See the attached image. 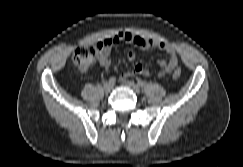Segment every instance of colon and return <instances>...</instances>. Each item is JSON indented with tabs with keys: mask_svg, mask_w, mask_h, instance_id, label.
Returning a JSON list of instances; mask_svg holds the SVG:
<instances>
[{
	"mask_svg": "<svg viewBox=\"0 0 243 167\" xmlns=\"http://www.w3.org/2000/svg\"><path fill=\"white\" fill-rule=\"evenodd\" d=\"M102 43H88L78 47L72 55V63L78 70L86 69L93 61L96 51L101 49ZM181 76V71L176 69L173 72V78L178 79Z\"/></svg>",
	"mask_w": 243,
	"mask_h": 167,
	"instance_id": "colon-1",
	"label": "colon"
}]
</instances>
